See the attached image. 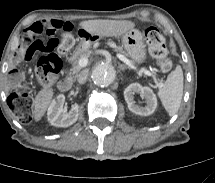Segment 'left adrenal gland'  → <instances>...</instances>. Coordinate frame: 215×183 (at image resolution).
Segmentation results:
<instances>
[{
    "mask_svg": "<svg viewBox=\"0 0 215 183\" xmlns=\"http://www.w3.org/2000/svg\"><path fill=\"white\" fill-rule=\"evenodd\" d=\"M119 67H120L121 70L129 69L127 66H125L123 64H120Z\"/></svg>",
    "mask_w": 215,
    "mask_h": 183,
    "instance_id": "obj_1",
    "label": "left adrenal gland"
}]
</instances>
